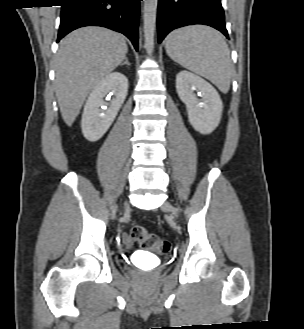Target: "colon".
Returning <instances> with one entry per match:
<instances>
[{
	"label": "colon",
	"instance_id": "obj_1",
	"mask_svg": "<svg viewBox=\"0 0 304 329\" xmlns=\"http://www.w3.org/2000/svg\"><path fill=\"white\" fill-rule=\"evenodd\" d=\"M132 239L143 248L160 255H167L171 251L168 239L160 238L155 233L149 232L144 226L133 224L130 229Z\"/></svg>",
	"mask_w": 304,
	"mask_h": 329
}]
</instances>
